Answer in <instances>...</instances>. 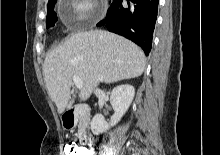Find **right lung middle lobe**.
Instances as JSON below:
<instances>
[{"instance_id":"1","label":"right lung middle lobe","mask_w":220,"mask_h":155,"mask_svg":"<svg viewBox=\"0 0 220 155\" xmlns=\"http://www.w3.org/2000/svg\"><path fill=\"white\" fill-rule=\"evenodd\" d=\"M56 3V0H54L51 3H48V12H47V18H46V27L49 28L51 26H54L55 22L57 21V15L53 11V7Z\"/></svg>"}]
</instances>
